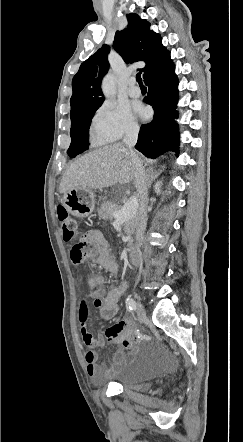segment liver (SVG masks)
Listing matches in <instances>:
<instances>
[{"instance_id":"liver-1","label":"liver","mask_w":243,"mask_h":442,"mask_svg":"<svg viewBox=\"0 0 243 442\" xmlns=\"http://www.w3.org/2000/svg\"><path fill=\"white\" fill-rule=\"evenodd\" d=\"M143 164L145 159L137 154ZM134 180V165L129 150L122 143L95 149L74 161L62 177L59 192L73 188L99 189Z\"/></svg>"}]
</instances>
